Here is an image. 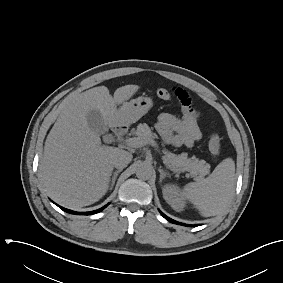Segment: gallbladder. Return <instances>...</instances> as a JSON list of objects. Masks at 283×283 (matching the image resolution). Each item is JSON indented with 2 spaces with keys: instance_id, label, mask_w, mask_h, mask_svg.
I'll use <instances>...</instances> for the list:
<instances>
[{
  "instance_id": "gallbladder-1",
  "label": "gallbladder",
  "mask_w": 283,
  "mask_h": 283,
  "mask_svg": "<svg viewBox=\"0 0 283 283\" xmlns=\"http://www.w3.org/2000/svg\"><path fill=\"white\" fill-rule=\"evenodd\" d=\"M87 122L90 129L96 134L105 133V122L99 111H89V113L87 114Z\"/></svg>"
}]
</instances>
